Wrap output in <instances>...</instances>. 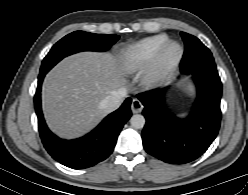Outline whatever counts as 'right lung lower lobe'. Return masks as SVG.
I'll return each mask as SVG.
<instances>
[{
    "instance_id": "obj_1",
    "label": "right lung lower lobe",
    "mask_w": 248,
    "mask_h": 195,
    "mask_svg": "<svg viewBox=\"0 0 248 195\" xmlns=\"http://www.w3.org/2000/svg\"><path fill=\"white\" fill-rule=\"evenodd\" d=\"M46 73L40 74L34 97L42 143L53 159L73 168H89L105 160L113 151L117 137L124 124L131 117V98L109 114L93 131L76 140H64L53 134L47 127L41 109L40 91Z\"/></svg>"
}]
</instances>
